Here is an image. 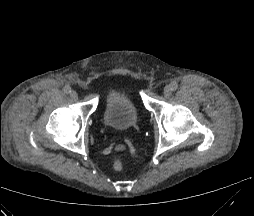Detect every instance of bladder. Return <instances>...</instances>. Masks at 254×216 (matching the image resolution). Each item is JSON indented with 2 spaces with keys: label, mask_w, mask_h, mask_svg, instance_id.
<instances>
[{
  "label": "bladder",
  "mask_w": 254,
  "mask_h": 216,
  "mask_svg": "<svg viewBox=\"0 0 254 216\" xmlns=\"http://www.w3.org/2000/svg\"><path fill=\"white\" fill-rule=\"evenodd\" d=\"M137 107L133 94L124 88L112 87L104 93L105 124L119 132L127 131L137 120Z\"/></svg>",
  "instance_id": "bladder-1"
}]
</instances>
